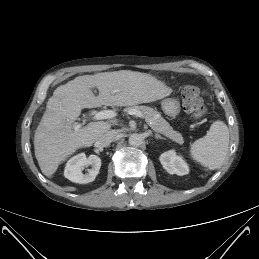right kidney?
I'll return each mask as SVG.
<instances>
[{
	"mask_svg": "<svg viewBox=\"0 0 259 259\" xmlns=\"http://www.w3.org/2000/svg\"><path fill=\"white\" fill-rule=\"evenodd\" d=\"M91 165L88 173L83 174L82 168ZM101 167V159L96 155H90L88 158L84 153L72 157L64 170V176L74 183L86 184L95 180Z\"/></svg>",
	"mask_w": 259,
	"mask_h": 259,
	"instance_id": "1",
	"label": "right kidney"
}]
</instances>
